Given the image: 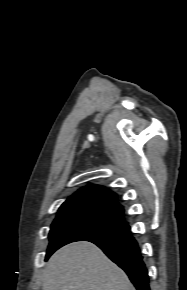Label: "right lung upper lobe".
<instances>
[{"instance_id": "cb5924a9", "label": "right lung upper lobe", "mask_w": 187, "mask_h": 290, "mask_svg": "<svg viewBox=\"0 0 187 290\" xmlns=\"http://www.w3.org/2000/svg\"><path fill=\"white\" fill-rule=\"evenodd\" d=\"M117 195L99 185L81 188L59 208V212L77 208H100L114 212L123 218L124 209L117 203Z\"/></svg>"}]
</instances>
